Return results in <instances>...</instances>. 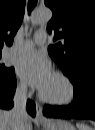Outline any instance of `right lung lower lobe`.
<instances>
[{
    "instance_id": "1",
    "label": "right lung lower lobe",
    "mask_w": 95,
    "mask_h": 130,
    "mask_svg": "<svg viewBox=\"0 0 95 130\" xmlns=\"http://www.w3.org/2000/svg\"><path fill=\"white\" fill-rule=\"evenodd\" d=\"M16 89V77L13 73L10 77L0 80V108L10 109L13 106V96ZM27 111L35 116V104L32 101L27 102Z\"/></svg>"
}]
</instances>
